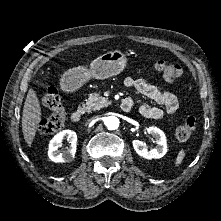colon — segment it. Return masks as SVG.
I'll return each instance as SVG.
<instances>
[{
	"label": "colon",
	"mask_w": 221,
	"mask_h": 221,
	"mask_svg": "<svg viewBox=\"0 0 221 221\" xmlns=\"http://www.w3.org/2000/svg\"><path fill=\"white\" fill-rule=\"evenodd\" d=\"M155 70L169 82L176 81L182 74L181 67L173 62L159 61L155 63ZM44 104L51 110L49 116L41 120L39 131L42 134L57 133L66 121V111L62 105L59 94L54 87L47 88L43 96ZM196 119L189 116L183 124L174 129V137L178 141H186L196 129Z\"/></svg>",
	"instance_id": "1"
}]
</instances>
